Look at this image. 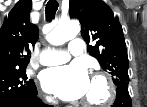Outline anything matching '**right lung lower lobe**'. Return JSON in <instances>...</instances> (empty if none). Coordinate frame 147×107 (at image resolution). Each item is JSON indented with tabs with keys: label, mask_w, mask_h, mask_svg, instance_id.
Listing matches in <instances>:
<instances>
[{
	"label": "right lung lower lobe",
	"mask_w": 147,
	"mask_h": 107,
	"mask_svg": "<svg viewBox=\"0 0 147 107\" xmlns=\"http://www.w3.org/2000/svg\"><path fill=\"white\" fill-rule=\"evenodd\" d=\"M36 95L37 91L33 94L19 96L0 107H50V105H45L42 103V101Z\"/></svg>",
	"instance_id": "1"
}]
</instances>
